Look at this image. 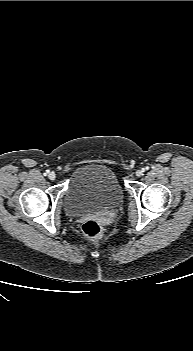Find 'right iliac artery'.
Listing matches in <instances>:
<instances>
[{
	"label": "right iliac artery",
	"instance_id": "82829eb1",
	"mask_svg": "<svg viewBox=\"0 0 193 351\" xmlns=\"http://www.w3.org/2000/svg\"><path fill=\"white\" fill-rule=\"evenodd\" d=\"M48 173H49V171L47 170V171L44 173V176H46Z\"/></svg>",
	"mask_w": 193,
	"mask_h": 351
}]
</instances>
